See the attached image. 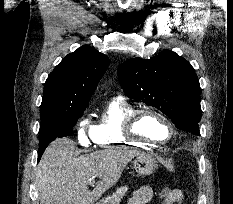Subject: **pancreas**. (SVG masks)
Masks as SVG:
<instances>
[{
    "label": "pancreas",
    "mask_w": 233,
    "mask_h": 204,
    "mask_svg": "<svg viewBox=\"0 0 233 204\" xmlns=\"http://www.w3.org/2000/svg\"><path fill=\"white\" fill-rule=\"evenodd\" d=\"M128 191L127 186H122L116 189L112 195L111 204H119L125 193Z\"/></svg>",
    "instance_id": "1"
}]
</instances>
